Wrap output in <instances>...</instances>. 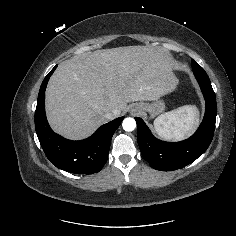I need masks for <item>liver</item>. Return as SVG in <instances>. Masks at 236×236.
Here are the masks:
<instances>
[{"label": "liver", "mask_w": 236, "mask_h": 236, "mask_svg": "<svg viewBox=\"0 0 236 236\" xmlns=\"http://www.w3.org/2000/svg\"><path fill=\"white\" fill-rule=\"evenodd\" d=\"M178 84L161 49L126 46L85 53L62 62L46 90L47 118L62 136L79 140L106 123V113L134 101H155Z\"/></svg>", "instance_id": "1"}]
</instances>
